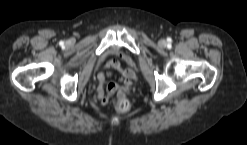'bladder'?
<instances>
[{"mask_svg":"<svg viewBox=\"0 0 247 145\" xmlns=\"http://www.w3.org/2000/svg\"><path fill=\"white\" fill-rule=\"evenodd\" d=\"M110 54H111V55L119 54V51H110ZM129 61L131 62L132 60L129 59Z\"/></svg>","mask_w":247,"mask_h":145,"instance_id":"1","label":"bladder"}]
</instances>
